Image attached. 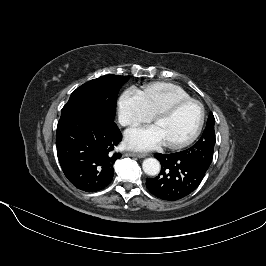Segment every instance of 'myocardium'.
I'll return each instance as SVG.
<instances>
[{
  "label": "myocardium",
  "mask_w": 266,
  "mask_h": 266,
  "mask_svg": "<svg viewBox=\"0 0 266 266\" xmlns=\"http://www.w3.org/2000/svg\"><path fill=\"white\" fill-rule=\"evenodd\" d=\"M189 103H195L199 106V108H200L199 123H198L196 129L194 130V132L188 138H186L182 141H178V142L165 143L166 146L171 148V149H180V148L186 147V146L190 145L191 143H193L197 139V137L200 135V133L202 131V128H203L204 122H205L206 112H205L204 105L202 104V102H200L197 99H193V98L183 99V100H179V101H176V102L170 104L169 106H167V107L163 108L162 110L158 111L157 113H155L153 116V120L156 123L159 119L172 115L179 108H181L182 106L187 105Z\"/></svg>",
  "instance_id": "obj_1"
}]
</instances>
